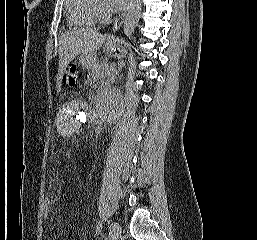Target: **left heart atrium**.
<instances>
[{"mask_svg": "<svg viewBox=\"0 0 257 240\" xmlns=\"http://www.w3.org/2000/svg\"><path fill=\"white\" fill-rule=\"evenodd\" d=\"M109 5L115 9L120 10L127 6L130 0H108Z\"/></svg>", "mask_w": 257, "mask_h": 240, "instance_id": "left-heart-atrium-1", "label": "left heart atrium"}]
</instances>
